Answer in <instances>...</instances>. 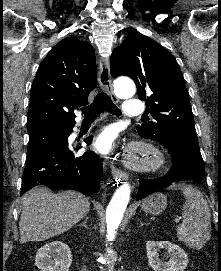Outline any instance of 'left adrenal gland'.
Instances as JSON below:
<instances>
[{
  "label": "left adrenal gland",
  "mask_w": 221,
  "mask_h": 271,
  "mask_svg": "<svg viewBox=\"0 0 221 271\" xmlns=\"http://www.w3.org/2000/svg\"><path fill=\"white\" fill-rule=\"evenodd\" d=\"M141 225H148V223H142V221H140Z\"/></svg>",
  "instance_id": "a2214340"
}]
</instances>
